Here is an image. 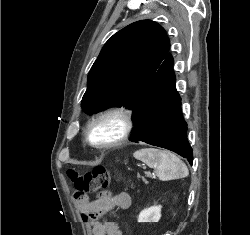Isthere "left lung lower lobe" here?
<instances>
[{
    "label": "left lung lower lobe",
    "instance_id": "obj_1",
    "mask_svg": "<svg viewBox=\"0 0 250 235\" xmlns=\"http://www.w3.org/2000/svg\"><path fill=\"white\" fill-rule=\"evenodd\" d=\"M173 58L169 54L137 102L133 120V142L171 150L186 158L192 165L193 154L181 114V99L175 87Z\"/></svg>",
    "mask_w": 250,
    "mask_h": 235
}]
</instances>
